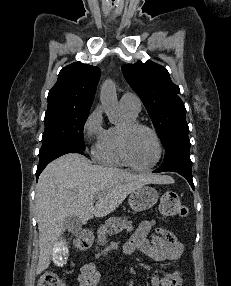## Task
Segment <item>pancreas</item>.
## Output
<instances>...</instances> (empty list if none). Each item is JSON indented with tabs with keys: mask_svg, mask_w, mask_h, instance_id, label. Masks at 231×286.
Here are the masks:
<instances>
[{
	"mask_svg": "<svg viewBox=\"0 0 231 286\" xmlns=\"http://www.w3.org/2000/svg\"><path fill=\"white\" fill-rule=\"evenodd\" d=\"M125 229L128 231L133 230L132 221H128L127 217H110L109 219H107V221H105V224H103L97 230V243L100 245H104L107 243L108 235L117 234Z\"/></svg>",
	"mask_w": 231,
	"mask_h": 286,
	"instance_id": "1",
	"label": "pancreas"
}]
</instances>
